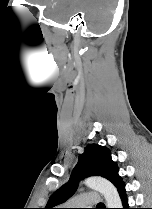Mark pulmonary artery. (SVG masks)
<instances>
[{
  "mask_svg": "<svg viewBox=\"0 0 152 209\" xmlns=\"http://www.w3.org/2000/svg\"><path fill=\"white\" fill-rule=\"evenodd\" d=\"M100 203V194L97 192H84L69 200L71 207H88Z\"/></svg>",
  "mask_w": 152,
  "mask_h": 209,
  "instance_id": "pulmonary-artery-1",
  "label": "pulmonary artery"
}]
</instances>
